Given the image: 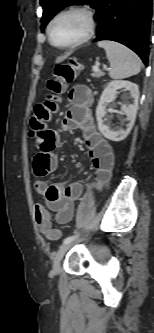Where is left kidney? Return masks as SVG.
Segmentation results:
<instances>
[{
  "instance_id": "obj_1",
  "label": "left kidney",
  "mask_w": 154,
  "mask_h": 333,
  "mask_svg": "<svg viewBox=\"0 0 154 333\" xmlns=\"http://www.w3.org/2000/svg\"><path fill=\"white\" fill-rule=\"evenodd\" d=\"M121 88L130 92L133 102L129 105H122L121 111L126 116V123H123L122 127L115 131L111 128V117H106V105L116 96L118 93L117 90ZM138 99L139 88L135 83L130 81L115 80L107 84L96 108L98 128L105 138L118 142L124 140L129 135L134 125L138 110Z\"/></svg>"
}]
</instances>
